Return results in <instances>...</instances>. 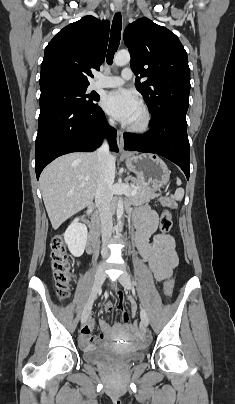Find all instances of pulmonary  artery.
I'll return each instance as SVG.
<instances>
[{"label": "pulmonary artery", "instance_id": "pulmonary-artery-1", "mask_svg": "<svg viewBox=\"0 0 235 404\" xmlns=\"http://www.w3.org/2000/svg\"><path fill=\"white\" fill-rule=\"evenodd\" d=\"M132 76L133 72L129 68L123 69L121 76L103 77L100 74H97L96 81L94 82L92 87L94 89L119 87L123 85L125 81L130 80Z\"/></svg>", "mask_w": 235, "mask_h": 404}]
</instances>
